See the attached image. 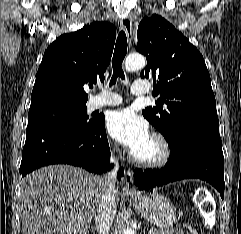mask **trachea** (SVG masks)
<instances>
[{
  "mask_svg": "<svg viewBox=\"0 0 241 234\" xmlns=\"http://www.w3.org/2000/svg\"><path fill=\"white\" fill-rule=\"evenodd\" d=\"M127 53V37L125 32L120 31L115 50L113 54L112 67H113V76L110 81V86L116 83L117 77H120L122 80L125 79V75L122 69V63Z\"/></svg>",
  "mask_w": 241,
  "mask_h": 234,
  "instance_id": "obj_1",
  "label": "trachea"
}]
</instances>
